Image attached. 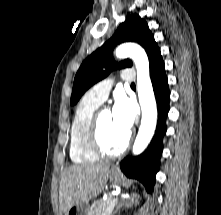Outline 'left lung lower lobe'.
<instances>
[{"instance_id":"1","label":"left lung lower lobe","mask_w":221,"mask_h":215,"mask_svg":"<svg viewBox=\"0 0 221 215\" xmlns=\"http://www.w3.org/2000/svg\"><path fill=\"white\" fill-rule=\"evenodd\" d=\"M150 77L158 106V122L155 135L147 150L137 157H126L120 168L129 178L141 181L148 192L152 191L155 175L159 170L162 140L166 133V117L169 111L170 92L164 62L160 51L150 61Z\"/></svg>"}]
</instances>
